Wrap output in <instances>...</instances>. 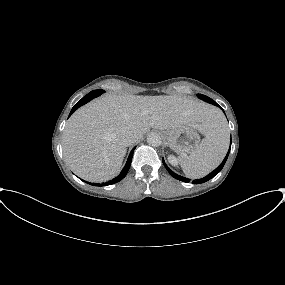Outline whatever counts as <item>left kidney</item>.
<instances>
[{"label":"left kidney","mask_w":285,"mask_h":285,"mask_svg":"<svg viewBox=\"0 0 285 285\" xmlns=\"http://www.w3.org/2000/svg\"><path fill=\"white\" fill-rule=\"evenodd\" d=\"M167 159H168V162H169L172 166H174V167L178 166V161H177V159H176L175 156L169 155Z\"/></svg>","instance_id":"5707ae66"}]
</instances>
